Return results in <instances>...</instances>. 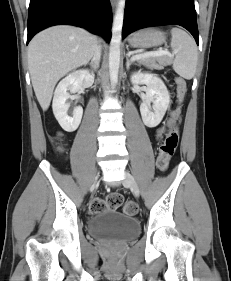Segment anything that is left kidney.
Returning a JSON list of instances; mask_svg holds the SVG:
<instances>
[{"mask_svg": "<svg viewBox=\"0 0 231 281\" xmlns=\"http://www.w3.org/2000/svg\"><path fill=\"white\" fill-rule=\"evenodd\" d=\"M132 84L146 85V95L140 105L143 123L153 128L162 121L170 102L169 92L164 82L155 74L134 72L131 75ZM151 103L153 105L151 106Z\"/></svg>", "mask_w": 231, "mask_h": 281, "instance_id": "obj_1", "label": "left kidney"}]
</instances>
